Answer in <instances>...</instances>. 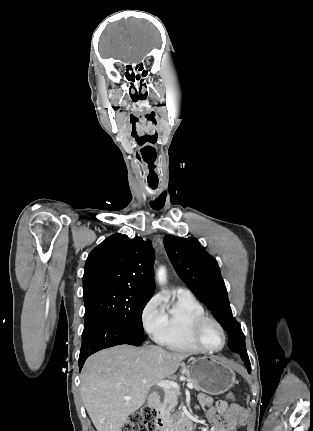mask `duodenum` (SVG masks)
Instances as JSON below:
<instances>
[{
  "mask_svg": "<svg viewBox=\"0 0 313 431\" xmlns=\"http://www.w3.org/2000/svg\"><path fill=\"white\" fill-rule=\"evenodd\" d=\"M159 396L157 393H151L148 396V406L155 408L158 404ZM156 424L159 431H193V422L190 418H185L180 421L176 426L168 423L164 416L159 415L156 419Z\"/></svg>",
  "mask_w": 313,
  "mask_h": 431,
  "instance_id": "duodenum-1",
  "label": "duodenum"
}]
</instances>
